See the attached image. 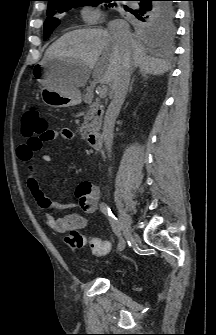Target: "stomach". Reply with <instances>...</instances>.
I'll return each instance as SVG.
<instances>
[{
    "instance_id": "obj_1",
    "label": "stomach",
    "mask_w": 216,
    "mask_h": 335,
    "mask_svg": "<svg viewBox=\"0 0 216 335\" xmlns=\"http://www.w3.org/2000/svg\"><path fill=\"white\" fill-rule=\"evenodd\" d=\"M78 64L68 59H53L41 62L34 68V75L42 85V101L54 108H67L81 101L78 90L66 83V76Z\"/></svg>"
}]
</instances>
